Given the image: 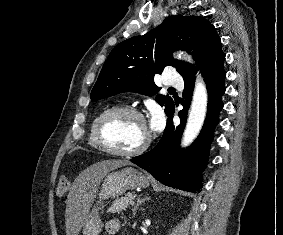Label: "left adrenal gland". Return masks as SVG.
Segmentation results:
<instances>
[{"mask_svg": "<svg viewBox=\"0 0 283 235\" xmlns=\"http://www.w3.org/2000/svg\"><path fill=\"white\" fill-rule=\"evenodd\" d=\"M149 199H150V198H149L148 196H146V197H144V198H142V195H139V196H138L137 201H136V204H135V206H134L133 209H132V214H133V216L136 215V212H137L139 206H140L142 203H144L146 200H149Z\"/></svg>", "mask_w": 283, "mask_h": 235, "instance_id": "obj_1", "label": "left adrenal gland"}]
</instances>
